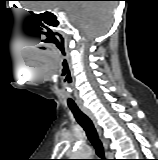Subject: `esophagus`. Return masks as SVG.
<instances>
[{
  "label": "esophagus",
  "mask_w": 158,
  "mask_h": 160,
  "mask_svg": "<svg viewBox=\"0 0 158 160\" xmlns=\"http://www.w3.org/2000/svg\"><path fill=\"white\" fill-rule=\"evenodd\" d=\"M80 109L91 119V121L93 122L102 142L104 143V146L107 147V142L105 141V139L103 137L102 130L99 127L97 120H96L95 116L93 115V113L84 106H80Z\"/></svg>",
  "instance_id": "1"
}]
</instances>
